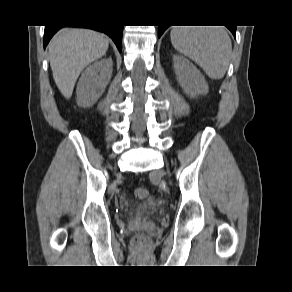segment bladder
Here are the masks:
<instances>
[{
    "label": "bladder",
    "instance_id": "bladder-1",
    "mask_svg": "<svg viewBox=\"0 0 292 292\" xmlns=\"http://www.w3.org/2000/svg\"><path fill=\"white\" fill-rule=\"evenodd\" d=\"M149 204H150L152 207H156V206H157V203H156V201H155L154 198H151V199H150Z\"/></svg>",
    "mask_w": 292,
    "mask_h": 292
}]
</instances>
